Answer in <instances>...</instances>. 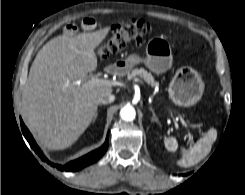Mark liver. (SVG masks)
I'll use <instances>...</instances> for the list:
<instances>
[{"label":"liver","instance_id":"obj_1","mask_svg":"<svg viewBox=\"0 0 245 195\" xmlns=\"http://www.w3.org/2000/svg\"><path fill=\"white\" fill-rule=\"evenodd\" d=\"M108 32L57 36L37 53L22 92V117L43 147L71 146L94 118L97 98L112 93V85L93 86L87 79L97 68L94 50Z\"/></svg>","mask_w":245,"mask_h":195}]
</instances>
